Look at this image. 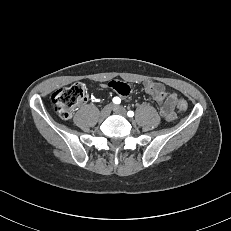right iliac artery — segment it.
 I'll use <instances>...</instances> for the list:
<instances>
[{"label": "right iliac artery", "instance_id": "82829eb1", "mask_svg": "<svg viewBox=\"0 0 231 231\" xmlns=\"http://www.w3.org/2000/svg\"><path fill=\"white\" fill-rule=\"evenodd\" d=\"M120 102H121V100H120L119 97H114V98H113V103H114V104H120Z\"/></svg>", "mask_w": 231, "mask_h": 231}]
</instances>
